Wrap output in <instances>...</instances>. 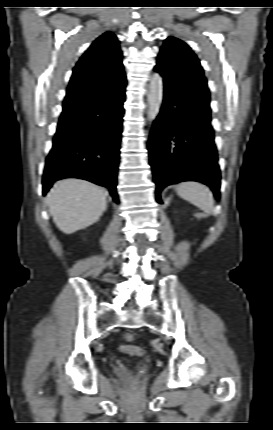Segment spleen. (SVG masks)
Returning a JSON list of instances; mask_svg holds the SVG:
<instances>
[{
  "label": "spleen",
  "instance_id": "1",
  "mask_svg": "<svg viewBox=\"0 0 273 430\" xmlns=\"http://www.w3.org/2000/svg\"><path fill=\"white\" fill-rule=\"evenodd\" d=\"M177 193L182 199L196 205L206 214H211L214 199L207 186L195 181H186L178 185Z\"/></svg>",
  "mask_w": 273,
  "mask_h": 430
}]
</instances>
